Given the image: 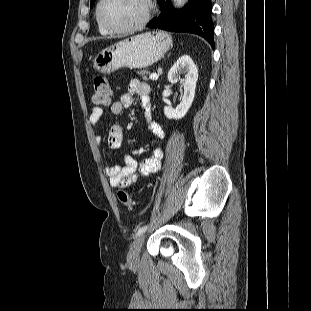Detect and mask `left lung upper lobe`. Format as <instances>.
Segmentation results:
<instances>
[{"label": "left lung upper lobe", "mask_w": 311, "mask_h": 311, "mask_svg": "<svg viewBox=\"0 0 311 311\" xmlns=\"http://www.w3.org/2000/svg\"><path fill=\"white\" fill-rule=\"evenodd\" d=\"M95 1H96V0H91V6L94 4Z\"/></svg>", "instance_id": "obj_1"}]
</instances>
